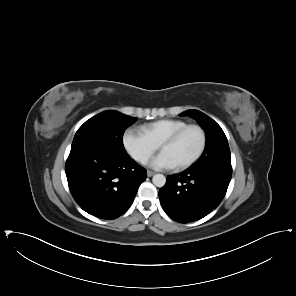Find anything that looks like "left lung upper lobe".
I'll return each instance as SVG.
<instances>
[{
  "instance_id": "obj_1",
  "label": "left lung upper lobe",
  "mask_w": 296,
  "mask_h": 296,
  "mask_svg": "<svg viewBox=\"0 0 296 296\" xmlns=\"http://www.w3.org/2000/svg\"><path fill=\"white\" fill-rule=\"evenodd\" d=\"M180 116H190L196 119L206 133V147L195 166H231V154L227 138L221 127L213 119L198 110H187Z\"/></svg>"
}]
</instances>
